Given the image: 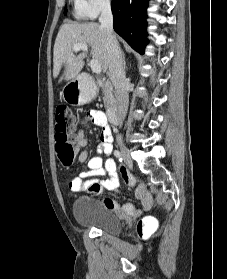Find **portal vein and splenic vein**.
Returning a JSON list of instances; mask_svg holds the SVG:
<instances>
[{"mask_svg": "<svg viewBox=\"0 0 227 279\" xmlns=\"http://www.w3.org/2000/svg\"><path fill=\"white\" fill-rule=\"evenodd\" d=\"M80 50H82V51H84V52H87V51H88L87 45H84V44H76V45H74V47H73V51H74V52H78V51H80ZM90 67H91V70H92L94 73L99 74V73H101V71H102L100 62L97 61V60H95V59H92V60L90 61Z\"/></svg>", "mask_w": 227, "mask_h": 279, "instance_id": "18ae733b", "label": "portal vein and splenic vein"}]
</instances>
